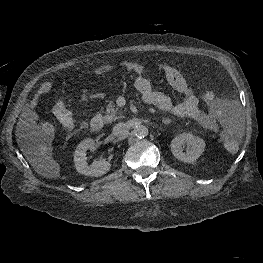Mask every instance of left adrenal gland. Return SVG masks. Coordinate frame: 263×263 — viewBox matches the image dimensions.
Wrapping results in <instances>:
<instances>
[{"label": "left adrenal gland", "instance_id": "1", "mask_svg": "<svg viewBox=\"0 0 263 263\" xmlns=\"http://www.w3.org/2000/svg\"><path fill=\"white\" fill-rule=\"evenodd\" d=\"M163 123L168 124V123H170V120L169 119L163 120Z\"/></svg>", "mask_w": 263, "mask_h": 263}]
</instances>
